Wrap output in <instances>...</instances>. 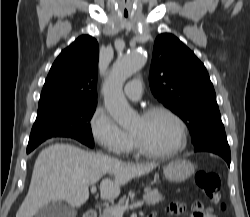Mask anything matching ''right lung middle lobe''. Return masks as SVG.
Wrapping results in <instances>:
<instances>
[{
	"label": "right lung middle lobe",
	"instance_id": "obj_1",
	"mask_svg": "<svg viewBox=\"0 0 250 217\" xmlns=\"http://www.w3.org/2000/svg\"><path fill=\"white\" fill-rule=\"evenodd\" d=\"M96 103L77 104L37 113L32 127L27 153L51 137H70L93 147L90 120Z\"/></svg>",
	"mask_w": 250,
	"mask_h": 217
}]
</instances>
